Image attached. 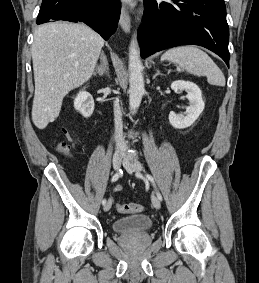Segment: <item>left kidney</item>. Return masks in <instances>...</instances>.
Masks as SVG:
<instances>
[{
  "label": "left kidney",
  "instance_id": "5707ae66",
  "mask_svg": "<svg viewBox=\"0 0 259 283\" xmlns=\"http://www.w3.org/2000/svg\"><path fill=\"white\" fill-rule=\"evenodd\" d=\"M174 91L187 92L186 98L189 100V106L186 107L185 115H177L174 112L169 113V122L176 129H184L191 126L204 110L205 104L202 99L200 88L190 81H174L171 84Z\"/></svg>",
  "mask_w": 259,
  "mask_h": 283
}]
</instances>
